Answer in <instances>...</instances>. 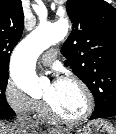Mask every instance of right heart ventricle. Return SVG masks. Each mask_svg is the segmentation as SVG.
Returning a JSON list of instances; mask_svg holds the SVG:
<instances>
[{"label":"right heart ventricle","mask_w":116,"mask_h":134,"mask_svg":"<svg viewBox=\"0 0 116 134\" xmlns=\"http://www.w3.org/2000/svg\"><path fill=\"white\" fill-rule=\"evenodd\" d=\"M39 113H40V116H41L42 118H45V117L47 116V113H46V111H45L44 108H42V110H41Z\"/></svg>","instance_id":"e07e8e85"}]
</instances>
